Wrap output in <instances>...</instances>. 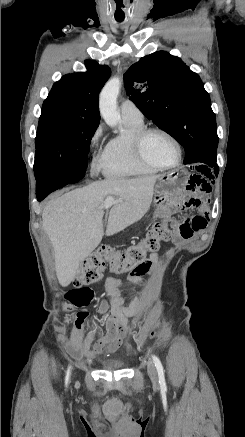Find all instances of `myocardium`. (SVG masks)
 Wrapping results in <instances>:
<instances>
[{
    "instance_id": "1",
    "label": "myocardium",
    "mask_w": 245,
    "mask_h": 437,
    "mask_svg": "<svg viewBox=\"0 0 245 437\" xmlns=\"http://www.w3.org/2000/svg\"><path fill=\"white\" fill-rule=\"evenodd\" d=\"M150 133H160L162 135H164L165 137H167L176 147L177 149V160L174 164L172 165H160L157 164L155 162H152L151 160H149L143 151V142L144 139L146 138V136ZM132 146H133V151L135 156L137 157V159L145 164L146 166L155 168L157 170H171L174 168H177L181 161H182V147L181 144L179 143V141L177 140V138L171 134L169 131L160 128V127H145L142 130H140L138 133H136V135L134 136L133 140H132Z\"/></svg>"
}]
</instances>
